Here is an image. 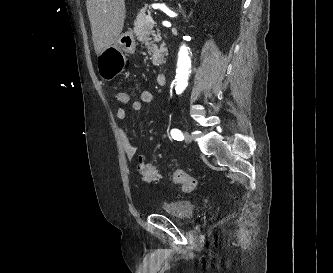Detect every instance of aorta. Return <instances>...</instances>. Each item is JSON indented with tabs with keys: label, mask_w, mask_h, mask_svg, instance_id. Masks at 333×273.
Listing matches in <instances>:
<instances>
[{
	"label": "aorta",
	"mask_w": 333,
	"mask_h": 273,
	"mask_svg": "<svg viewBox=\"0 0 333 273\" xmlns=\"http://www.w3.org/2000/svg\"><path fill=\"white\" fill-rule=\"evenodd\" d=\"M191 67V59L189 56V48L183 44L178 53L177 75H176V91L181 93L188 84V77Z\"/></svg>",
	"instance_id": "1"
}]
</instances>
